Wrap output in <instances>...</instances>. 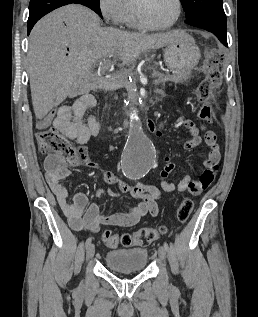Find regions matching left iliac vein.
<instances>
[{
    "label": "left iliac vein",
    "instance_id": "obj_1",
    "mask_svg": "<svg viewBox=\"0 0 258 317\" xmlns=\"http://www.w3.org/2000/svg\"><path fill=\"white\" fill-rule=\"evenodd\" d=\"M158 252H159V255H160V261L163 263V266L164 267H167L168 266V263H167V260H166V249L164 247V245H159L158 247Z\"/></svg>",
    "mask_w": 258,
    "mask_h": 317
}]
</instances>
